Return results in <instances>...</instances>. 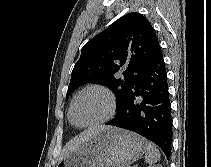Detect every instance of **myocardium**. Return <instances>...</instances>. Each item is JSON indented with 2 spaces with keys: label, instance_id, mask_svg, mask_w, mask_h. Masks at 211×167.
<instances>
[{
  "label": "myocardium",
  "instance_id": "myocardium-1",
  "mask_svg": "<svg viewBox=\"0 0 211 167\" xmlns=\"http://www.w3.org/2000/svg\"><path fill=\"white\" fill-rule=\"evenodd\" d=\"M91 90L100 91V92L104 93L107 96L108 101H109L108 114L105 117H103L102 119L97 120L95 122H92V123H89V124H85V125H79L73 120V117H72L73 107H74L77 99L81 95H83L84 93H86L88 91H91ZM115 112H116V98H115L113 92L109 88H107V87H105L103 85L91 84V85H88V86L84 87L83 89H81L74 96V98L72 99V101L70 103V106H69L68 118H69V121L71 122V124L73 126H75L77 128H80V129H86V128H92V127H96V126L102 125L104 123H107L108 121H110L113 118Z\"/></svg>",
  "mask_w": 211,
  "mask_h": 167
}]
</instances>
